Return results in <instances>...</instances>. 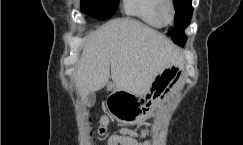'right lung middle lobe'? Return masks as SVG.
<instances>
[{
    "instance_id": "right-lung-middle-lobe-1",
    "label": "right lung middle lobe",
    "mask_w": 243,
    "mask_h": 145,
    "mask_svg": "<svg viewBox=\"0 0 243 145\" xmlns=\"http://www.w3.org/2000/svg\"><path fill=\"white\" fill-rule=\"evenodd\" d=\"M119 0H81V11L95 19L106 20L110 18L118 5Z\"/></svg>"
}]
</instances>
